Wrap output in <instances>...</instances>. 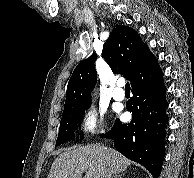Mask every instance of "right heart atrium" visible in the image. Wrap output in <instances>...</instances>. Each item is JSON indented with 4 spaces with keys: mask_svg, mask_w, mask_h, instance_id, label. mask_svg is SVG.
<instances>
[{
    "mask_svg": "<svg viewBox=\"0 0 194 178\" xmlns=\"http://www.w3.org/2000/svg\"><path fill=\"white\" fill-rule=\"evenodd\" d=\"M79 128L85 137L103 133L106 129L104 114L95 108L87 109L80 119Z\"/></svg>",
    "mask_w": 194,
    "mask_h": 178,
    "instance_id": "d8ad5b80",
    "label": "right heart atrium"
}]
</instances>
